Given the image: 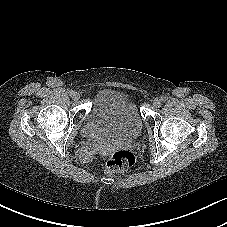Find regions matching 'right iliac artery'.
Wrapping results in <instances>:
<instances>
[{"instance_id":"obj_1","label":"right iliac artery","mask_w":227,"mask_h":227,"mask_svg":"<svg viewBox=\"0 0 227 227\" xmlns=\"http://www.w3.org/2000/svg\"><path fill=\"white\" fill-rule=\"evenodd\" d=\"M74 93H75V92H74L73 90H70V91H69V95H70V96H73Z\"/></svg>"}]
</instances>
